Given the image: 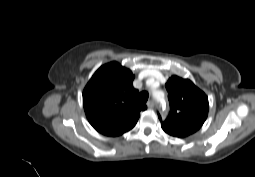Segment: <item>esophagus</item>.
Segmentation results:
<instances>
[{"mask_svg": "<svg viewBox=\"0 0 255 177\" xmlns=\"http://www.w3.org/2000/svg\"><path fill=\"white\" fill-rule=\"evenodd\" d=\"M155 102L153 101V100H150V101H148V103H147V106L149 107V108H154L155 107Z\"/></svg>", "mask_w": 255, "mask_h": 177, "instance_id": "34e87169", "label": "esophagus"}]
</instances>
